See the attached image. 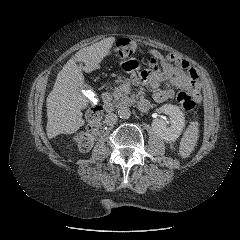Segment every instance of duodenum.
<instances>
[{
	"label": "duodenum",
	"mask_w": 240,
	"mask_h": 240,
	"mask_svg": "<svg viewBox=\"0 0 240 240\" xmlns=\"http://www.w3.org/2000/svg\"><path fill=\"white\" fill-rule=\"evenodd\" d=\"M103 100H104V104H103L104 110L107 111V112H111L113 110V104L109 100L107 93L103 94ZM139 107L142 110L148 109L149 108L148 101L145 100V99L140 100Z\"/></svg>",
	"instance_id": "410a0bca"
}]
</instances>
